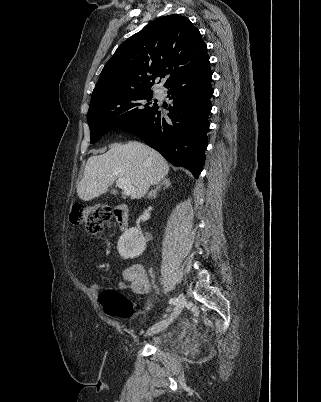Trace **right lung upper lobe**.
Segmentation results:
<instances>
[{
	"label": "right lung upper lobe",
	"mask_w": 321,
	"mask_h": 402,
	"mask_svg": "<svg viewBox=\"0 0 321 402\" xmlns=\"http://www.w3.org/2000/svg\"><path fill=\"white\" fill-rule=\"evenodd\" d=\"M208 64L207 46L188 18L160 17L116 50L101 72L90 106L135 92L151 91L157 77H166V87Z\"/></svg>",
	"instance_id": "cb5924a9"
}]
</instances>
